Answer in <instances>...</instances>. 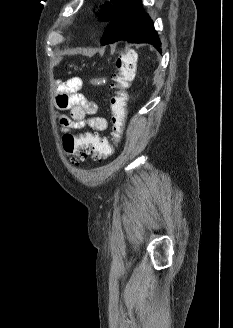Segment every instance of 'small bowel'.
<instances>
[{"instance_id":"c3829d8e","label":"small bowel","mask_w":233,"mask_h":328,"mask_svg":"<svg viewBox=\"0 0 233 328\" xmlns=\"http://www.w3.org/2000/svg\"><path fill=\"white\" fill-rule=\"evenodd\" d=\"M82 88V80L73 77L67 81L60 82L57 87L56 106L59 110H70V115H59L62 131L89 127L101 132L108 128V121L97 116V104L86 98L79 91Z\"/></svg>"}]
</instances>
